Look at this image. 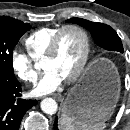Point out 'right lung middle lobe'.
I'll list each match as a JSON object with an SVG mask.
<instances>
[{
    "instance_id": "right-lung-middle-lobe-1",
    "label": "right lung middle lobe",
    "mask_w": 130,
    "mask_h": 130,
    "mask_svg": "<svg viewBox=\"0 0 130 130\" xmlns=\"http://www.w3.org/2000/svg\"><path fill=\"white\" fill-rule=\"evenodd\" d=\"M30 28L28 23L7 16H0V71L14 77L12 49L20 37Z\"/></svg>"
}]
</instances>
